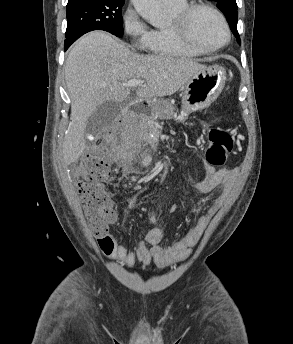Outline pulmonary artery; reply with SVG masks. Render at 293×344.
Segmentation results:
<instances>
[{"mask_svg": "<svg viewBox=\"0 0 293 344\" xmlns=\"http://www.w3.org/2000/svg\"><path fill=\"white\" fill-rule=\"evenodd\" d=\"M163 4H172L178 0H161Z\"/></svg>", "mask_w": 293, "mask_h": 344, "instance_id": "obj_1", "label": "pulmonary artery"}]
</instances>
